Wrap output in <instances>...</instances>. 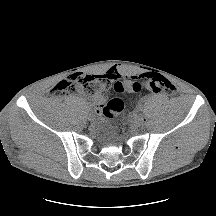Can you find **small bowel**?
Returning <instances> with one entry per match:
<instances>
[{
	"instance_id": "small-bowel-1",
	"label": "small bowel",
	"mask_w": 216,
	"mask_h": 216,
	"mask_svg": "<svg viewBox=\"0 0 216 216\" xmlns=\"http://www.w3.org/2000/svg\"><path fill=\"white\" fill-rule=\"evenodd\" d=\"M106 77H108L110 80L115 81L122 78V75L118 72L116 69H110L105 74ZM106 100V95L97 94L94 96V103L97 107L103 106L104 102ZM99 112V111H98Z\"/></svg>"
}]
</instances>
